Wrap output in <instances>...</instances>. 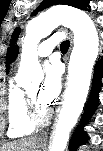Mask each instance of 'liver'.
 Listing matches in <instances>:
<instances>
[{
	"instance_id": "1",
	"label": "liver",
	"mask_w": 103,
	"mask_h": 151,
	"mask_svg": "<svg viewBox=\"0 0 103 151\" xmlns=\"http://www.w3.org/2000/svg\"><path fill=\"white\" fill-rule=\"evenodd\" d=\"M37 137L22 138L8 142L0 147V151H37Z\"/></svg>"
}]
</instances>
